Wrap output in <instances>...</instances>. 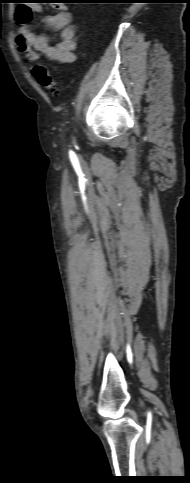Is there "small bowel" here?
I'll return each instance as SVG.
<instances>
[{
    "mask_svg": "<svg viewBox=\"0 0 190 483\" xmlns=\"http://www.w3.org/2000/svg\"><path fill=\"white\" fill-rule=\"evenodd\" d=\"M56 10L54 14L44 15L46 25L59 32V41L51 46L46 35H37L28 27L32 13L34 11L42 13L41 7L21 4L16 8L15 19L20 27L15 43L26 60L37 61L40 54L60 64H70L76 60L77 43L71 13L62 5L56 6Z\"/></svg>",
    "mask_w": 190,
    "mask_h": 483,
    "instance_id": "1",
    "label": "small bowel"
}]
</instances>
